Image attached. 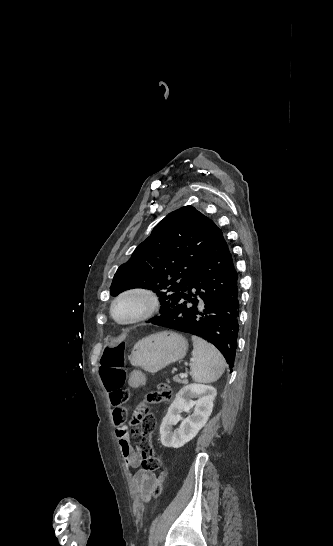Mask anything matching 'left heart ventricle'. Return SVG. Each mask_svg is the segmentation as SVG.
I'll list each match as a JSON object with an SVG mask.
<instances>
[{
    "instance_id": "obj_1",
    "label": "left heart ventricle",
    "mask_w": 333,
    "mask_h": 546,
    "mask_svg": "<svg viewBox=\"0 0 333 546\" xmlns=\"http://www.w3.org/2000/svg\"><path fill=\"white\" fill-rule=\"evenodd\" d=\"M138 308V302L130 300L122 303L116 310V314L119 318H127L135 312Z\"/></svg>"
}]
</instances>
